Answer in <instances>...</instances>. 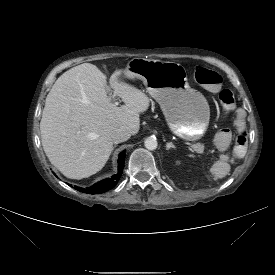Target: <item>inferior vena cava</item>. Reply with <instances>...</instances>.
<instances>
[{
    "mask_svg": "<svg viewBox=\"0 0 275 275\" xmlns=\"http://www.w3.org/2000/svg\"><path fill=\"white\" fill-rule=\"evenodd\" d=\"M130 136L131 134L128 129L118 128L112 133L111 138L115 144H118L128 140Z\"/></svg>",
    "mask_w": 275,
    "mask_h": 275,
    "instance_id": "inferior-vena-cava-1",
    "label": "inferior vena cava"
}]
</instances>
